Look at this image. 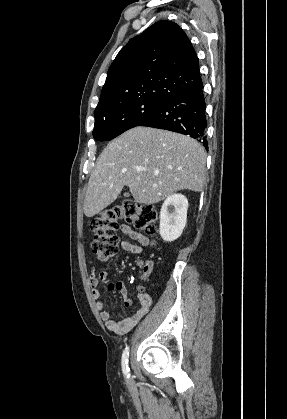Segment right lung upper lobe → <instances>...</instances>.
<instances>
[{
    "mask_svg": "<svg viewBox=\"0 0 287 419\" xmlns=\"http://www.w3.org/2000/svg\"><path fill=\"white\" fill-rule=\"evenodd\" d=\"M201 84L199 59L190 40L176 23L162 20L118 53L95 114L136 100L165 101Z\"/></svg>",
    "mask_w": 287,
    "mask_h": 419,
    "instance_id": "cb5924a9",
    "label": "right lung upper lobe"
}]
</instances>
